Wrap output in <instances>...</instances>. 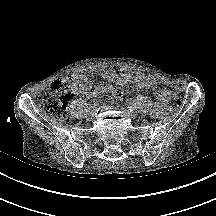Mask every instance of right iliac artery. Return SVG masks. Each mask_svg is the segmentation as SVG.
<instances>
[{
	"mask_svg": "<svg viewBox=\"0 0 216 216\" xmlns=\"http://www.w3.org/2000/svg\"><path fill=\"white\" fill-rule=\"evenodd\" d=\"M99 102H95L92 106H90V110H92V111H94L95 112V114H96V112H98L99 111Z\"/></svg>",
	"mask_w": 216,
	"mask_h": 216,
	"instance_id": "right-iliac-artery-1",
	"label": "right iliac artery"
}]
</instances>
